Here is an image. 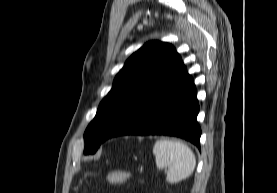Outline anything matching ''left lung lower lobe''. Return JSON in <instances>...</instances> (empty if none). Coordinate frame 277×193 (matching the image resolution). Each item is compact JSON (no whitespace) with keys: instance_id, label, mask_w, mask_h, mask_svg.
Here are the masks:
<instances>
[{"instance_id":"left-lung-lower-lobe-1","label":"left lung lower lobe","mask_w":277,"mask_h":193,"mask_svg":"<svg viewBox=\"0 0 277 193\" xmlns=\"http://www.w3.org/2000/svg\"><path fill=\"white\" fill-rule=\"evenodd\" d=\"M196 95L193 79L184 66L133 103L103 141L120 135H170L189 140L200 149Z\"/></svg>"}]
</instances>
